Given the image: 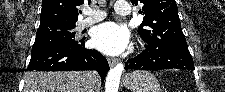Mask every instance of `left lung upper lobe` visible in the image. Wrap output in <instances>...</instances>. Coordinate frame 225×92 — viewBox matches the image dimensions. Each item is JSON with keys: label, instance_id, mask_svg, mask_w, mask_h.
<instances>
[{"label": "left lung upper lobe", "instance_id": "5c2ea615", "mask_svg": "<svg viewBox=\"0 0 225 92\" xmlns=\"http://www.w3.org/2000/svg\"><path fill=\"white\" fill-rule=\"evenodd\" d=\"M132 4H143L144 19L138 29L140 37L154 46L187 47L181 29L175 0H131Z\"/></svg>", "mask_w": 225, "mask_h": 92}]
</instances>
